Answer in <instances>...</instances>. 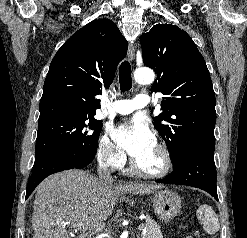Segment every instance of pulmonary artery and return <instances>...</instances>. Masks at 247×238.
<instances>
[{
    "instance_id": "obj_1",
    "label": "pulmonary artery",
    "mask_w": 247,
    "mask_h": 238,
    "mask_svg": "<svg viewBox=\"0 0 247 238\" xmlns=\"http://www.w3.org/2000/svg\"><path fill=\"white\" fill-rule=\"evenodd\" d=\"M149 104V97L145 94H139L133 99L114 101L111 109L118 114H129L136 109L143 108Z\"/></svg>"
}]
</instances>
